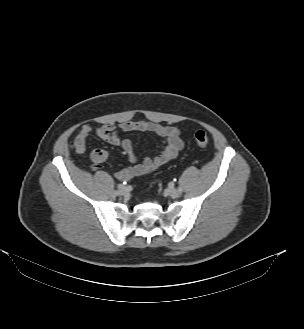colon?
Returning <instances> with one entry per match:
<instances>
[{"instance_id": "obj_1", "label": "colon", "mask_w": 304, "mask_h": 329, "mask_svg": "<svg viewBox=\"0 0 304 329\" xmlns=\"http://www.w3.org/2000/svg\"><path fill=\"white\" fill-rule=\"evenodd\" d=\"M195 141L201 147H206L209 144V137L204 131H198L195 133Z\"/></svg>"}]
</instances>
